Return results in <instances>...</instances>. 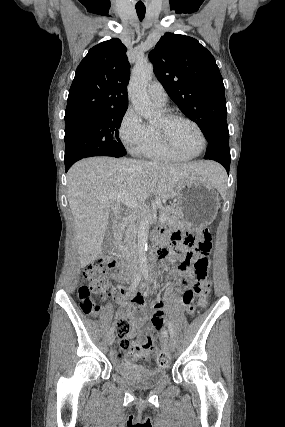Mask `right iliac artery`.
I'll return each mask as SVG.
<instances>
[{"label": "right iliac artery", "mask_w": 285, "mask_h": 427, "mask_svg": "<svg viewBox=\"0 0 285 427\" xmlns=\"http://www.w3.org/2000/svg\"><path fill=\"white\" fill-rule=\"evenodd\" d=\"M142 271H140V273H141ZM139 281H140V275L137 277V279L132 283V286L130 287V290L131 291H133L136 287H137V285H138V283H139ZM114 332V327H111L110 328V330H109V334H112Z\"/></svg>", "instance_id": "1"}]
</instances>
